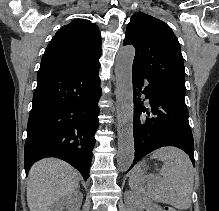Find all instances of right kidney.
I'll return each instance as SVG.
<instances>
[{"mask_svg": "<svg viewBox=\"0 0 219 211\" xmlns=\"http://www.w3.org/2000/svg\"><path fill=\"white\" fill-rule=\"evenodd\" d=\"M74 195L75 193H77V191H73ZM77 195H79L78 199L77 197H75V199H73L72 195H68V199H65V197H60V199H58V201H55V203H53V205H51L49 211H63V209H65V205H67L68 201L69 203H76V205H80V201H82V193H77Z\"/></svg>", "mask_w": 219, "mask_h": 211, "instance_id": "ca27d5eb", "label": "right kidney"}]
</instances>
